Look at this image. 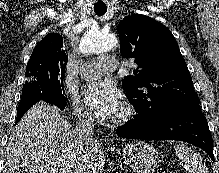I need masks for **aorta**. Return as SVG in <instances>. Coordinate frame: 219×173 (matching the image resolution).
<instances>
[{"mask_svg": "<svg viewBox=\"0 0 219 173\" xmlns=\"http://www.w3.org/2000/svg\"><path fill=\"white\" fill-rule=\"evenodd\" d=\"M117 38L98 29H91L81 39L79 52L82 54L102 53L115 49Z\"/></svg>", "mask_w": 219, "mask_h": 173, "instance_id": "1", "label": "aorta"}]
</instances>
